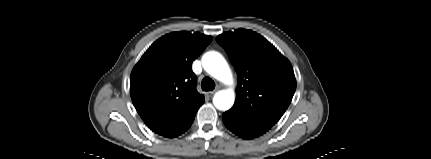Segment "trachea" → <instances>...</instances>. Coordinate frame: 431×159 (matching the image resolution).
<instances>
[{"label":"trachea","mask_w":431,"mask_h":159,"mask_svg":"<svg viewBox=\"0 0 431 159\" xmlns=\"http://www.w3.org/2000/svg\"><path fill=\"white\" fill-rule=\"evenodd\" d=\"M201 88L203 91H212L215 88V83L211 78L205 77L201 82Z\"/></svg>","instance_id":"obj_1"}]
</instances>
